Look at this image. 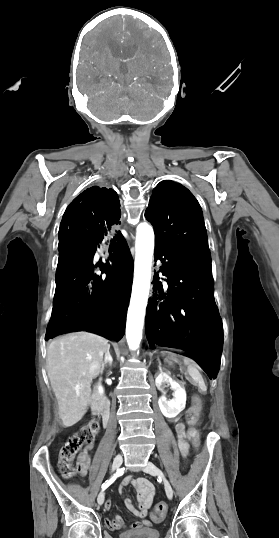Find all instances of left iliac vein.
I'll use <instances>...</instances> for the list:
<instances>
[{
	"label": "left iliac vein",
	"mask_w": 279,
	"mask_h": 538,
	"mask_svg": "<svg viewBox=\"0 0 279 538\" xmlns=\"http://www.w3.org/2000/svg\"><path fill=\"white\" fill-rule=\"evenodd\" d=\"M144 472L149 473V474L154 475V476L161 477L162 480H163V483H164V488H165L167 497L169 499H172V497H173L172 487H171L169 481L166 479L164 473L155 464H153L152 462H148L146 467L144 468Z\"/></svg>",
	"instance_id": "obj_1"
}]
</instances>
